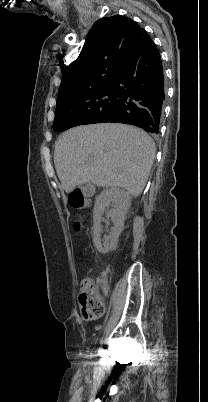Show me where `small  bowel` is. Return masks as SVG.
<instances>
[{
  "label": "small bowel",
  "mask_w": 208,
  "mask_h": 402,
  "mask_svg": "<svg viewBox=\"0 0 208 402\" xmlns=\"http://www.w3.org/2000/svg\"><path fill=\"white\" fill-rule=\"evenodd\" d=\"M85 280V279H84ZM100 298L99 295H94ZM90 324H98L100 322V317L98 315H90L88 318ZM90 324H87V327H90Z\"/></svg>",
  "instance_id": "c3829d8e"
}]
</instances>
